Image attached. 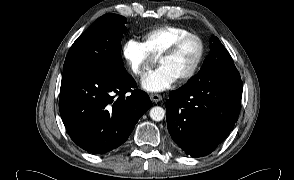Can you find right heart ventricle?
<instances>
[{
	"label": "right heart ventricle",
	"instance_id": "e07e8e85",
	"mask_svg": "<svg viewBox=\"0 0 294 180\" xmlns=\"http://www.w3.org/2000/svg\"><path fill=\"white\" fill-rule=\"evenodd\" d=\"M188 33L190 31L184 27L165 25L141 32L139 37L144 49L154 58H158L175 39Z\"/></svg>",
	"mask_w": 294,
	"mask_h": 180
}]
</instances>
